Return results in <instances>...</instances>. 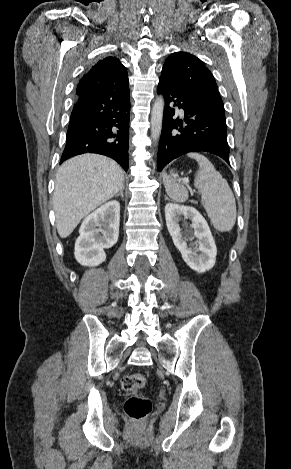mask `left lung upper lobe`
<instances>
[{"label":"left lung upper lobe","instance_id":"obj_1","mask_svg":"<svg viewBox=\"0 0 291 469\" xmlns=\"http://www.w3.org/2000/svg\"><path fill=\"white\" fill-rule=\"evenodd\" d=\"M160 79L181 92L224 110L212 73L199 58L189 53L171 54L164 63Z\"/></svg>","mask_w":291,"mask_h":469}]
</instances>
